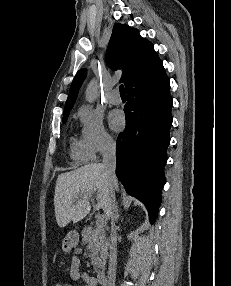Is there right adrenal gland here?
<instances>
[{"instance_id": "1", "label": "right adrenal gland", "mask_w": 231, "mask_h": 286, "mask_svg": "<svg viewBox=\"0 0 231 286\" xmlns=\"http://www.w3.org/2000/svg\"><path fill=\"white\" fill-rule=\"evenodd\" d=\"M119 218L118 204L115 205L114 208V219L117 221Z\"/></svg>"}]
</instances>
